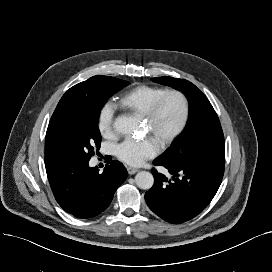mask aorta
<instances>
[{
    "instance_id": "aorta-1",
    "label": "aorta",
    "mask_w": 272,
    "mask_h": 272,
    "mask_svg": "<svg viewBox=\"0 0 272 272\" xmlns=\"http://www.w3.org/2000/svg\"><path fill=\"white\" fill-rule=\"evenodd\" d=\"M114 129L119 134H133L138 130V121L132 116L122 115L115 119ZM135 182L140 189L148 190L153 186L154 178L150 172L141 171L135 176Z\"/></svg>"
}]
</instances>
